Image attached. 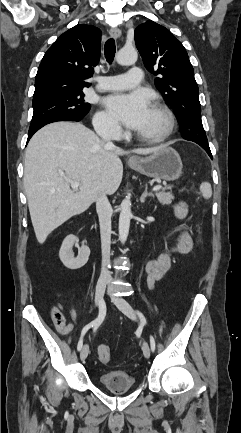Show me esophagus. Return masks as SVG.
<instances>
[{
    "label": "esophagus",
    "instance_id": "esophagus-1",
    "mask_svg": "<svg viewBox=\"0 0 241 433\" xmlns=\"http://www.w3.org/2000/svg\"><path fill=\"white\" fill-rule=\"evenodd\" d=\"M109 34L115 39H119L122 35L121 30L117 27L111 28ZM130 159H133V157H130Z\"/></svg>",
    "mask_w": 241,
    "mask_h": 433
}]
</instances>
